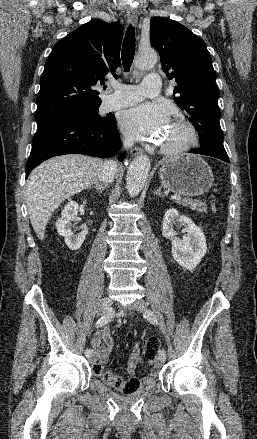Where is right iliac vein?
<instances>
[{
  "instance_id": "right-iliac-vein-1",
  "label": "right iliac vein",
  "mask_w": 257,
  "mask_h": 439,
  "mask_svg": "<svg viewBox=\"0 0 257 439\" xmlns=\"http://www.w3.org/2000/svg\"><path fill=\"white\" fill-rule=\"evenodd\" d=\"M112 306V299L110 297H104L100 300L99 306H98V315H104L108 313ZM94 358L91 356L89 357V361L92 362Z\"/></svg>"
}]
</instances>
